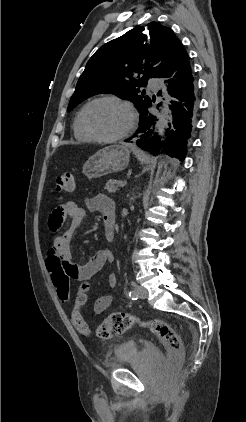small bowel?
Listing matches in <instances>:
<instances>
[{
	"mask_svg": "<svg viewBox=\"0 0 246 422\" xmlns=\"http://www.w3.org/2000/svg\"><path fill=\"white\" fill-rule=\"evenodd\" d=\"M87 207L90 211H97L102 214L104 228L109 223L113 226L114 221V202L104 194H98L87 201ZM85 216V210L74 202H66L57 206L51 213L48 221V227L51 232H56L61 227L66 218L70 220V228L57 235L53 241V246L48 250L50 253L59 255L70 271V277L77 280H88L99 272L106 263L113 260V254L109 248H102L97 251L89 260L83 264H75L72 261L71 241L76 229L81 225ZM117 277L115 274L108 276V285L115 287ZM113 302V296L102 295L94 303L93 310L99 314L105 311Z\"/></svg>",
	"mask_w": 246,
	"mask_h": 422,
	"instance_id": "1",
	"label": "small bowel"
}]
</instances>
